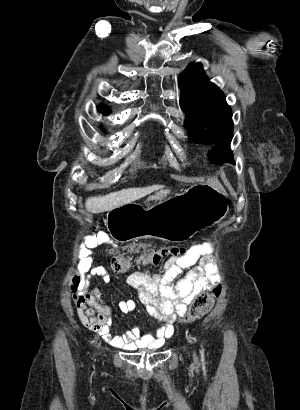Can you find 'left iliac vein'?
<instances>
[{
	"instance_id": "obj_1",
	"label": "left iliac vein",
	"mask_w": 300,
	"mask_h": 410,
	"mask_svg": "<svg viewBox=\"0 0 300 410\" xmlns=\"http://www.w3.org/2000/svg\"><path fill=\"white\" fill-rule=\"evenodd\" d=\"M193 358H194V361H195V362H197V361H198V359H197V355H196V353H195V352L193 353Z\"/></svg>"
}]
</instances>
